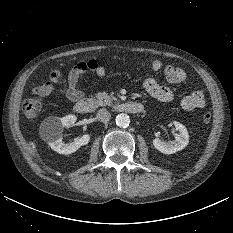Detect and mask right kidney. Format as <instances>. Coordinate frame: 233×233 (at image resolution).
<instances>
[{"label": "right kidney", "instance_id": "ca27d5eb", "mask_svg": "<svg viewBox=\"0 0 233 233\" xmlns=\"http://www.w3.org/2000/svg\"><path fill=\"white\" fill-rule=\"evenodd\" d=\"M75 115H67L62 118L49 117L41 124L43 137L54 151L60 154H71L77 151L81 146L86 145L90 141V135L84 134L76 138L71 143L62 141V132L64 127H69L76 122Z\"/></svg>", "mask_w": 233, "mask_h": 233}]
</instances>
